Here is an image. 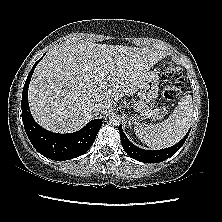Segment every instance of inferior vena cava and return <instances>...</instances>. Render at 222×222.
Segmentation results:
<instances>
[{
  "mask_svg": "<svg viewBox=\"0 0 222 222\" xmlns=\"http://www.w3.org/2000/svg\"><path fill=\"white\" fill-rule=\"evenodd\" d=\"M90 109L94 114H98L102 110V106L101 104H92Z\"/></svg>",
  "mask_w": 222,
  "mask_h": 222,
  "instance_id": "1",
  "label": "inferior vena cava"
}]
</instances>
